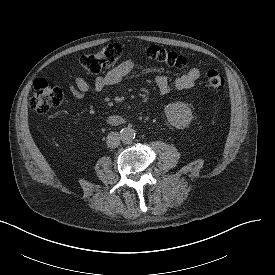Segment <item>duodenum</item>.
Returning a JSON list of instances; mask_svg holds the SVG:
<instances>
[{
    "instance_id": "1",
    "label": "duodenum",
    "mask_w": 275,
    "mask_h": 275,
    "mask_svg": "<svg viewBox=\"0 0 275 275\" xmlns=\"http://www.w3.org/2000/svg\"><path fill=\"white\" fill-rule=\"evenodd\" d=\"M107 121L110 123V124H114V125H120L122 123H124V119L122 118H119V117H116V116H109Z\"/></svg>"
}]
</instances>
